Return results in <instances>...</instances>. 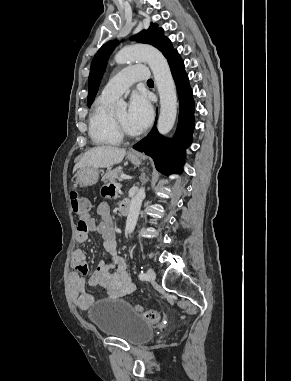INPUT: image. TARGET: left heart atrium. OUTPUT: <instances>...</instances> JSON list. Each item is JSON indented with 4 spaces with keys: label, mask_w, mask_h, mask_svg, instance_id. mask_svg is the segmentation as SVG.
I'll list each match as a JSON object with an SVG mask.
<instances>
[{
    "label": "left heart atrium",
    "mask_w": 291,
    "mask_h": 381,
    "mask_svg": "<svg viewBox=\"0 0 291 381\" xmlns=\"http://www.w3.org/2000/svg\"><path fill=\"white\" fill-rule=\"evenodd\" d=\"M153 117L152 106L143 93H134L130 99L128 108V120L136 132L144 130Z\"/></svg>",
    "instance_id": "39dd6f15"
}]
</instances>
